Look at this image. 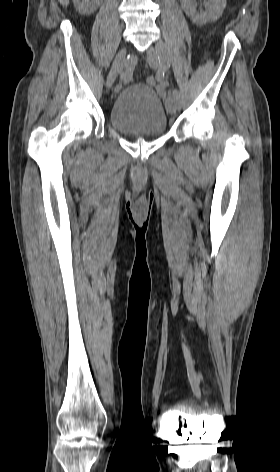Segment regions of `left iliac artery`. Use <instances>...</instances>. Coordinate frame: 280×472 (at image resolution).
Instances as JSON below:
<instances>
[{
  "label": "left iliac artery",
  "instance_id": "left-iliac-artery-1",
  "mask_svg": "<svg viewBox=\"0 0 280 472\" xmlns=\"http://www.w3.org/2000/svg\"><path fill=\"white\" fill-rule=\"evenodd\" d=\"M157 50H158V53H159V55H160V58H161L164 62L168 63V62H169V59H168V56H167V52H166L165 46H158V47H157ZM173 95H174V98H175V100H176L177 106H179V105H180V94H179L178 90H174V91H173Z\"/></svg>",
  "mask_w": 280,
  "mask_h": 472
}]
</instances>
